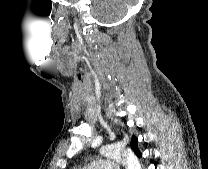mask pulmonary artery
<instances>
[{"label": "pulmonary artery", "mask_w": 208, "mask_h": 169, "mask_svg": "<svg viewBox=\"0 0 208 169\" xmlns=\"http://www.w3.org/2000/svg\"><path fill=\"white\" fill-rule=\"evenodd\" d=\"M79 169H120V166L111 158H100L91 164L80 167Z\"/></svg>", "instance_id": "1"}]
</instances>
